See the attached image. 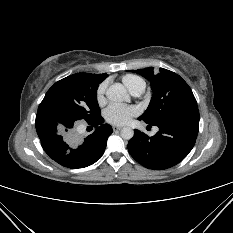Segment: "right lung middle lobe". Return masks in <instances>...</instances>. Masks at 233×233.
<instances>
[{
	"label": "right lung middle lobe",
	"mask_w": 233,
	"mask_h": 233,
	"mask_svg": "<svg viewBox=\"0 0 233 233\" xmlns=\"http://www.w3.org/2000/svg\"><path fill=\"white\" fill-rule=\"evenodd\" d=\"M99 83L88 73H77L56 82L39 105L38 113L48 111L61 120L89 121L100 114L96 98Z\"/></svg>",
	"instance_id": "dd1d6c3e"
}]
</instances>
